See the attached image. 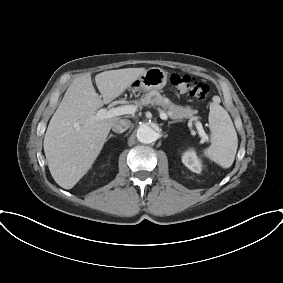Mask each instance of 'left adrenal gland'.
<instances>
[{"label": "left adrenal gland", "instance_id": "a2214340", "mask_svg": "<svg viewBox=\"0 0 283 283\" xmlns=\"http://www.w3.org/2000/svg\"><path fill=\"white\" fill-rule=\"evenodd\" d=\"M176 122H178V121H169V122H168V126H170L171 124H174V123H176Z\"/></svg>", "mask_w": 283, "mask_h": 283}]
</instances>
